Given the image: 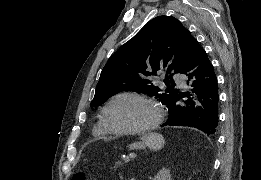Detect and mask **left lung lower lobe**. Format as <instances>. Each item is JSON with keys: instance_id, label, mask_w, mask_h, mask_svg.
I'll return each instance as SVG.
<instances>
[{"instance_id": "obj_1", "label": "left lung lower lobe", "mask_w": 261, "mask_h": 180, "mask_svg": "<svg viewBox=\"0 0 261 180\" xmlns=\"http://www.w3.org/2000/svg\"><path fill=\"white\" fill-rule=\"evenodd\" d=\"M181 73L187 76V84L193 89L185 94L177 91L167 105L169 116L163 126H188L207 135L215 133L219 122L217 77L205 50L199 44ZM191 95L198 98L199 107L195 106ZM179 101L183 104H179Z\"/></svg>"}]
</instances>
